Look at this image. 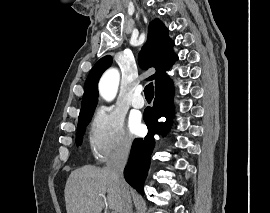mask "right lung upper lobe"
I'll return each instance as SVG.
<instances>
[{
    "mask_svg": "<svg viewBox=\"0 0 270 213\" xmlns=\"http://www.w3.org/2000/svg\"><path fill=\"white\" fill-rule=\"evenodd\" d=\"M173 45L164 24L158 19L152 21L149 25L148 40L140 52L139 61L142 67L148 66L156 69V73L148 78L155 80V88L169 79L165 71L178 59L172 51ZM111 63L112 57L105 56L98 60L90 71L85 84L79 117L93 113L98 99V80Z\"/></svg>",
    "mask_w": 270,
    "mask_h": 213,
    "instance_id": "right-lung-upper-lobe-1",
    "label": "right lung upper lobe"
}]
</instances>
